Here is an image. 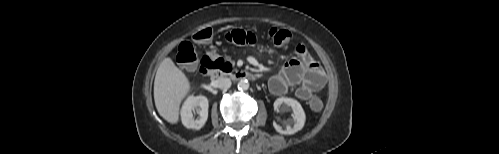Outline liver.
<instances>
[{
  "label": "liver",
  "instance_id": "6515ba94",
  "mask_svg": "<svg viewBox=\"0 0 499 154\" xmlns=\"http://www.w3.org/2000/svg\"><path fill=\"white\" fill-rule=\"evenodd\" d=\"M190 89V81L184 72L170 58H165L154 81V101L160 116L176 124L179 121L180 104Z\"/></svg>",
  "mask_w": 499,
  "mask_h": 154
}]
</instances>
